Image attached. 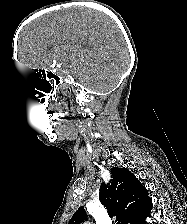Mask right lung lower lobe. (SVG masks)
Returning <instances> with one entry per match:
<instances>
[{
	"mask_svg": "<svg viewBox=\"0 0 187 224\" xmlns=\"http://www.w3.org/2000/svg\"><path fill=\"white\" fill-rule=\"evenodd\" d=\"M149 215V212L145 215H143L141 218L137 219V221L134 224H145V218Z\"/></svg>",
	"mask_w": 187,
	"mask_h": 224,
	"instance_id": "98d812e1",
	"label": "right lung lower lobe"
}]
</instances>
